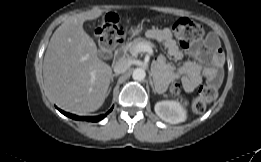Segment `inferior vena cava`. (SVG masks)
<instances>
[{"mask_svg":"<svg viewBox=\"0 0 261 162\" xmlns=\"http://www.w3.org/2000/svg\"><path fill=\"white\" fill-rule=\"evenodd\" d=\"M130 66V63L127 59H119L113 66L114 72L117 74L124 73Z\"/></svg>","mask_w":261,"mask_h":162,"instance_id":"inferior-vena-cava-1","label":"inferior vena cava"}]
</instances>
